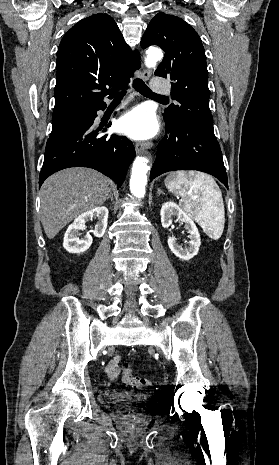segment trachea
I'll list each match as a JSON object with an SVG mask.
<instances>
[{
  "mask_svg": "<svg viewBox=\"0 0 279 465\" xmlns=\"http://www.w3.org/2000/svg\"><path fill=\"white\" fill-rule=\"evenodd\" d=\"M133 86L135 89L140 92V94L147 96V97H152L156 99H165L167 100L168 98L165 96L158 95L156 93H153L149 87L139 78L135 79L133 81ZM126 94V91H121L117 94V96H124Z\"/></svg>",
  "mask_w": 279,
  "mask_h": 465,
  "instance_id": "obj_1",
  "label": "trachea"
}]
</instances>
